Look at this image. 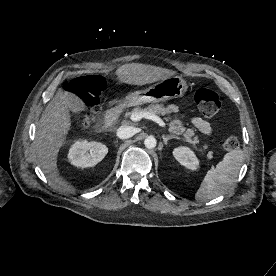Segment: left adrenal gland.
Wrapping results in <instances>:
<instances>
[{
  "mask_svg": "<svg viewBox=\"0 0 276 276\" xmlns=\"http://www.w3.org/2000/svg\"><path fill=\"white\" fill-rule=\"evenodd\" d=\"M162 138H163V142H164L165 145L168 144V141H169L170 139H179V137L174 136V135H170V136H165V135H163Z\"/></svg>",
  "mask_w": 276,
  "mask_h": 276,
  "instance_id": "left-adrenal-gland-1",
  "label": "left adrenal gland"
}]
</instances>
